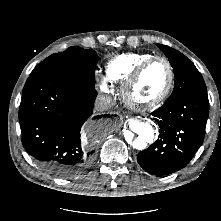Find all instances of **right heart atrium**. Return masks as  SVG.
<instances>
[{"label":"right heart atrium","instance_id":"right-heart-atrium-1","mask_svg":"<svg viewBox=\"0 0 221 221\" xmlns=\"http://www.w3.org/2000/svg\"><path fill=\"white\" fill-rule=\"evenodd\" d=\"M100 89H101V91H103V92H109L110 87H109V85H108V80H107V79H103V80L100 82Z\"/></svg>","mask_w":221,"mask_h":221}]
</instances>
